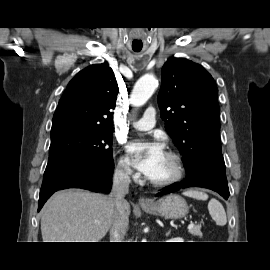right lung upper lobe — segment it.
<instances>
[{"mask_svg": "<svg viewBox=\"0 0 270 270\" xmlns=\"http://www.w3.org/2000/svg\"><path fill=\"white\" fill-rule=\"evenodd\" d=\"M118 84L108 64L91 65L68 84L53 116L52 128L80 125L113 129Z\"/></svg>", "mask_w": 270, "mask_h": 270, "instance_id": "1", "label": "right lung upper lobe"}]
</instances>
